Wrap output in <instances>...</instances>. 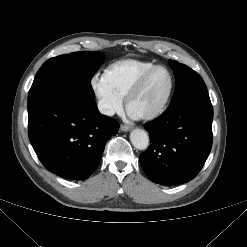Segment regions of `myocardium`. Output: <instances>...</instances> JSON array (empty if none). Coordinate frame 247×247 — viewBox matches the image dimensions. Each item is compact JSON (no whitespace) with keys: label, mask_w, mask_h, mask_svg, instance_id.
<instances>
[{"label":"myocardium","mask_w":247,"mask_h":247,"mask_svg":"<svg viewBox=\"0 0 247 247\" xmlns=\"http://www.w3.org/2000/svg\"><path fill=\"white\" fill-rule=\"evenodd\" d=\"M159 69H163L168 73L169 81H170L169 89H168L165 97L163 98V100L158 105H156L151 110H149L143 114H138L137 115L138 118H141L144 120H152V119L157 118L158 116H160L164 112V110L166 109L167 105L169 104V102L171 100V97H172V94L174 91L173 75H172L171 71L166 66L155 65L152 68H150L149 70H147L139 78V80L136 82V84L131 88V90L127 94V97H126L127 110L129 112L132 111L131 105H132L133 101L143 92V90L145 89L151 76L154 74V72H156Z\"/></svg>","instance_id":"f54148a6"}]
</instances>
